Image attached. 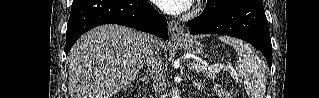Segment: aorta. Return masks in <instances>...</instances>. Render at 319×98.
Returning <instances> with one entry per match:
<instances>
[{
	"label": "aorta",
	"mask_w": 319,
	"mask_h": 98,
	"mask_svg": "<svg viewBox=\"0 0 319 98\" xmlns=\"http://www.w3.org/2000/svg\"><path fill=\"white\" fill-rule=\"evenodd\" d=\"M172 98H180L179 93H178L177 90L173 91Z\"/></svg>",
	"instance_id": "1"
}]
</instances>
